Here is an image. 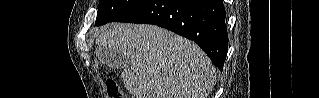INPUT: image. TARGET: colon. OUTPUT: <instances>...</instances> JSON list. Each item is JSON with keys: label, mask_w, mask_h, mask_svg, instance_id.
<instances>
[{"label": "colon", "mask_w": 319, "mask_h": 98, "mask_svg": "<svg viewBox=\"0 0 319 98\" xmlns=\"http://www.w3.org/2000/svg\"><path fill=\"white\" fill-rule=\"evenodd\" d=\"M105 87L108 98H127V95L122 91L116 81L107 79Z\"/></svg>", "instance_id": "1"}]
</instances>
